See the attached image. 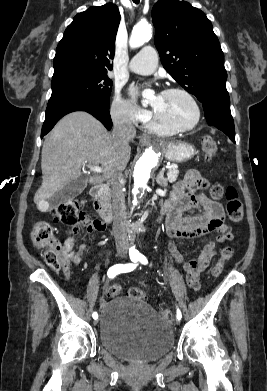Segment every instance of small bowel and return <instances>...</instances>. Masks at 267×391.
I'll list each match as a JSON object with an SVG mask.
<instances>
[{
    "label": "small bowel",
    "instance_id": "obj_1",
    "mask_svg": "<svg viewBox=\"0 0 267 391\" xmlns=\"http://www.w3.org/2000/svg\"><path fill=\"white\" fill-rule=\"evenodd\" d=\"M209 183L196 170H190L184 180L178 183L172 193L171 199L165 205L166 230L173 238L169 250L175 262L186 273V280L193 290L200 288V275L204 272L216 255L215 242L208 241L199 255L185 261L178 250L177 241L180 239H193L211 232H217V243H224L233 239L232 228L225 224L224 209L221 203L210 199L205 191ZM197 210L198 214L192 217H183V213ZM85 229L88 234L105 230V224L99 220H87L70 228L66 233L60 252L64 259L63 273L69 278L71 268L81 262V257L87 248L85 243L76 245V235Z\"/></svg>",
    "mask_w": 267,
    "mask_h": 391
}]
</instances>
